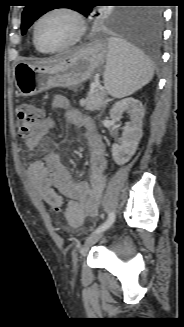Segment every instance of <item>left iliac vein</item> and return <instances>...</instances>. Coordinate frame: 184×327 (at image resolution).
I'll return each mask as SVG.
<instances>
[{"mask_svg": "<svg viewBox=\"0 0 184 327\" xmlns=\"http://www.w3.org/2000/svg\"><path fill=\"white\" fill-rule=\"evenodd\" d=\"M103 233H104V231L97 232V233L92 234L89 238H87V240L85 241V243L81 249L82 256H85L87 254V252L90 250V248L100 240Z\"/></svg>", "mask_w": 184, "mask_h": 327, "instance_id": "4c4485c4", "label": "left iliac vein"}]
</instances>
